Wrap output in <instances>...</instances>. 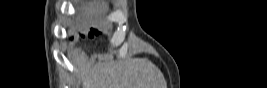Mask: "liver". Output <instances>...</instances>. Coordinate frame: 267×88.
Wrapping results in <instances>:
<instances>
[{
    "label": "liver",
    "mask_w": 267,
    "mask_h": 88,
    "mask_svg": "<svg viewBox=\"0 0 267 88\" xmlns=\"http://www.w3.org/2000/svg\"><path fill=\"white\" fill-rule=\"evenodd\" d=\"M83 88H167L162 72L145 58L92 65L80 49L68 53Z\"/></svg>",
    "instance_id": "obj_1"
}]
</instances>
